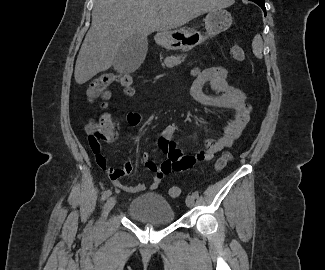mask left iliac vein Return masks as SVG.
Masks as SVG:
<instances>
[{"label":"left iliac vein","instance_id":"4c4485c4","mask_svg":"<svg viewBox=\"0 0 325 270\" xmlns=\"http://www.w3.org/2000/svg\"><path fill=\"white\" fill-rule=\"evenodd\" d=\"M194 202H195V198H194L192 195L187 196V198H186V205H187L189 208H191V207L194 206Z\"/></svg>","mask_w":325,"mask_h":270}]
</instances>
